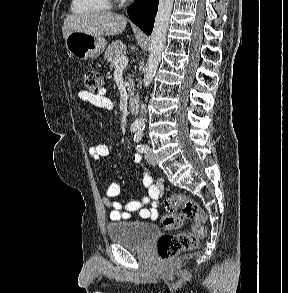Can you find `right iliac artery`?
Segmentation results:
<instances>
[{"instance_id": "right-iliac-artery-1", "label": "right iliac artery", "mask_w": 288, "mask_h": 293, "mask_svg": "<svg viewBox=\"0 0 288 293\" xmlns=\"http://www.w3.org/2000/svg\"><path fill=\"white\" fill-rule=\"evenodd\" d=\"M136 130H137V127H135V126H132V127H131V131H132V132H135Z\"/></svg>"}]
</instances>
